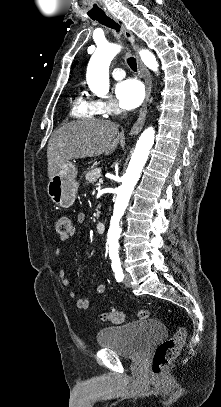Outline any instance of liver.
Instances as JSON below:
<instances>
[{
  "label": "liver",
  "instance_id": "6515ba94",
  "mask_svg": "<svg viewBox=\"0 0 221 407\" xmlns=\"http://www.w3.org/2000/svg\"><path fill=\"white\" fill-rule=\"evenodd\" d=\"M124 145V134L109 120L72 121L56 129L48 141V177L72 159L110 155L117 145Z\"/></svg>",
  "mask_w": 221,
  "mask_h": 407
}]
</instances>
